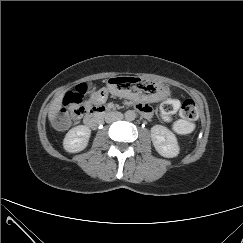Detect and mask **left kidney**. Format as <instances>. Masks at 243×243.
Masks as SVG:
<instances>
[{"label": "left kidney", "instance_id": "1", "mask_svg": "<svg viewBox=\"0 0 243 243\" xmlns=\"http://www.w3.org/2000/svg\"><path fill=\"white\" fill-rule=\"evenodd\" d=\"M151 140L156 151L163 157L173 158L179 154V145L175 134L162 125L151 128Z\"/></svg>", "mask_w": 243, "mask_h": 243}]
</instances>
